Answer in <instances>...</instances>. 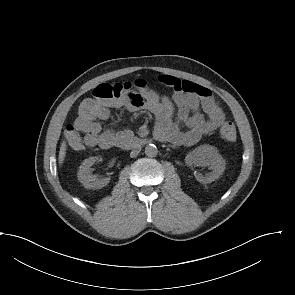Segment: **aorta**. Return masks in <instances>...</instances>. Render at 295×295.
Segmentation results:
<instances>
[{"instance_id":"aorta-1","label":"aorta","mask_w":295,"mask_h":295,"mask_svg":"<svg viewBox=\"0 0 295 295\" xmlns=\"http://www.w3.org/2000/svg\"><path fill=\"white\" fill-rule=\"evenodd\" d=\"M145 154L148 157H155L158 154V149L154 144H149L145 147Z\"/></svg>"}]
</instances>
